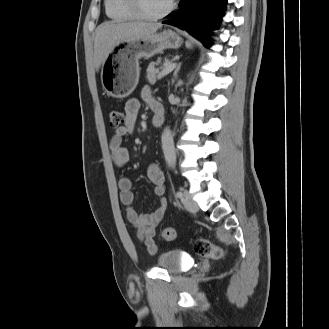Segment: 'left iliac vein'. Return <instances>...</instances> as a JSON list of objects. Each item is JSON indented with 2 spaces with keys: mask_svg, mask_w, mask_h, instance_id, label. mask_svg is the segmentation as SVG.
<instances>
[{
  "mask_svg": "<svg viewBox=\"0 0 329 329\" xmlns=\"http://www.w3.org/2000/svg\"><path fill=\"white\" fill-rule=\"evenodd\" d=\"M182 202L186 210L189 212H196L199 209L198 204L192 199L187 191H184V198L182 199Z\"/></svg>",
  "mask_w": 329,
  "mask_h": 329,
  "instance_id": "obj_1",
  "label": "left iliac vein"
}]
</instances>
